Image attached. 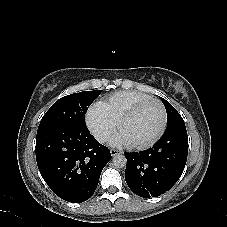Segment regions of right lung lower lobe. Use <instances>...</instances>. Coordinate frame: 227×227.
Masks as SVG:
<instances>
[{
    "mask_svg": "<svg viewBox=\"0 0 227 227\" xmlns=\"http://www.w3.org/2000/svg\"><path fill=\"white\" fill-rule=\"evenodd\" d=\"M110 159V150L97 142L86 126L38 127V169L51 190L65 201L81 203L88 200Z\"/></svg>",
    "mask_w": 227,
    "mask_h": 227,
    "instance_id": "right-lung-lower-lobe-1",
    "label": "right lung lower lobe"
}]
</instances>
